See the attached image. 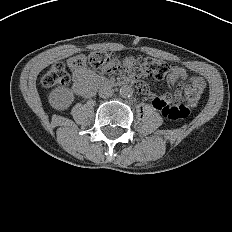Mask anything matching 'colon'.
Wrapping results in <instances>:
<instances>
[{
    "mask_svg": "<svg viewBox=\"0 0 232 232\" xmlns=\"http://www.w3.org/2000/svg\"><path fill=\"white\" fill-rule=\"evenodd\" d=\"M76 62L80 65L88 63L91 67L99 69L105 73H113L118 66V59L103 51H93L87 57L78 56ZM144 75L155 79L165 78L171 71V67L164 61L140 57L137 60ZM69 81V75L64 64L55 63L44 74L42 82L46 87L64 85ZM178 89L183 90L185 103L173 100L168 94L158 98L157 104H162V114L171 119H183L189 114V107L195 106L202 95L203 90L193 85H179Z\"/></svg>",
    "mask_w": 232,
    "mask_h": 232,
    "instance_id": "5ec220e1",
    "label": "colon"
}]
</instances>
